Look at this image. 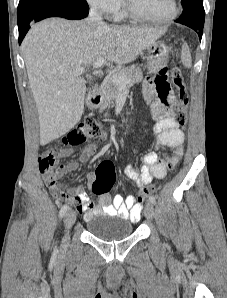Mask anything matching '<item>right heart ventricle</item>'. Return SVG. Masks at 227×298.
Returning a JSON list of instances; mask_svg holds the SVG:
<instances>
[{"mask_svg":"<svg viewBox=\"0 0 227 298\" xmlns=\"http://www.w3.org/2000/svg\"><path fill=\"white\" fill-rule=\"evenodd\" d=\"M115 17H116L117 19L122 18V17H123V14H122L121 12L118 11V12L115 14Z\"/></svg>","mask_w":227,"mask_h":298,"instance_id":"obj_1","label":"right heart ventricle"}]
</instances>
